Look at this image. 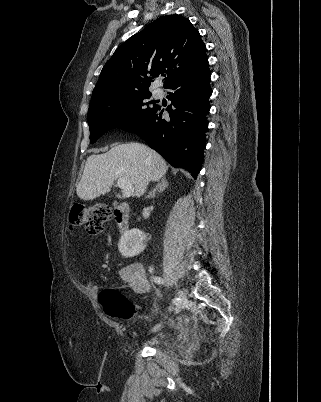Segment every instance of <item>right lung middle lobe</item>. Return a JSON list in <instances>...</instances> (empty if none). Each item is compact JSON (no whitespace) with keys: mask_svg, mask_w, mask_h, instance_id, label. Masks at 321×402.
<instances>
[{"mask_svg":"<svg viewBox=\"0 0 321 402\" xmlns=\"http://www.w3.org/2000/svg\"><path fill=\"white\" fill-rule=\"evenodd\" d=\"M150 96L148 91L137 92L89 107L90 143L108 130L135 124L149 115L157 107L149 106L154 103L146 101Z\"/></svg>","mask_w":321,"mask_h":402,"instance_id":"right-lung-middle-lobe-1","label":"right lung middle lobe"}]
</instances>
